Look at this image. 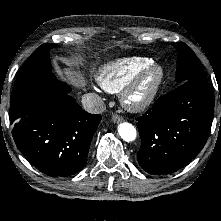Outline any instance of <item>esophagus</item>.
Wrapping results in <instances>:
<instances>
[{"label": "esophagus", "instance_id": "1", "mask_svg": "<svg viewBox=\"0 0 221 221\" xmlns=\"http://www.w3.org/2000/svg\"><path fill=\"white\" fill-rule=\"evenodd\" d=\"M123 120H124V118L122 116L118 115V114H114L112 116V121L114 123H119V122H122Z\"/></svg>", "mask_w": 221, "mask_h": 221}]
</instances>
